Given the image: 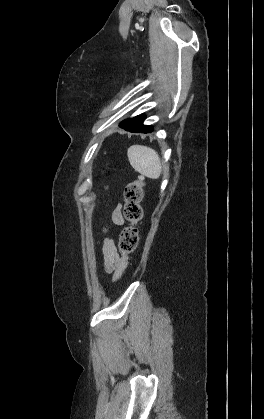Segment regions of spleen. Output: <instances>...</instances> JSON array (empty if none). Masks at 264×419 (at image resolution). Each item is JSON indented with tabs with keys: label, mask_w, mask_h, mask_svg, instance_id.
<instances>
[{
	"label": "spleen",
	"mask_w": 264,
	"mask_h": 419,
	"mask_svg": "<svg viewBox=\"0 0 264 419\" xmlns=\"http://www.w3.org/2000/svg\"><path fill=\"white\" fill-rule=\"evenodd\" d=\"M127 155L135 171L152 179L160 177L162 166L155 150L147 146L133 145L129 147Z\"/></svg>",
	"instance_id": "spleen-1"
}]
</instances>
